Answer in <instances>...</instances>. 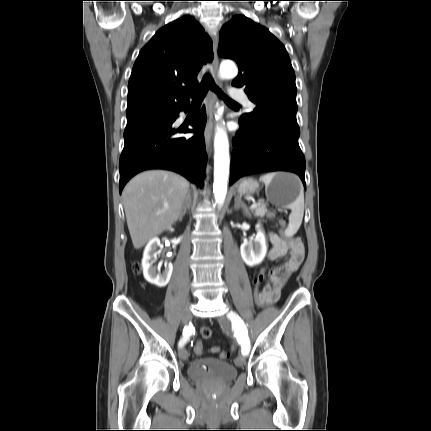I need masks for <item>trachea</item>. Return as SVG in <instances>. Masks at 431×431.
I'll list each match as a JSON object with an SVG mask.
<instances>
[{
  "instance_id": "3493384b",
  "label": "trachea",
  "mask_w": 431,
  "mask_h": 431,
  "mask_svg": "<svg viewBox=\"0 0 431 431\" xmlns=\"http://www.w3.org/2000/svg\"><path fill=\"white\" fill-rule=\"evenodd\" d=\"M211 89L215 91L223 100L231 105H238L235 101H233L231 98L226 96L214 83V80L212 79L210 74H206L200 85L197 87L195 91H193L190 96L192 98V104L193 105H200L208 92V90Z\"/></svg>"
}]
</instances>
